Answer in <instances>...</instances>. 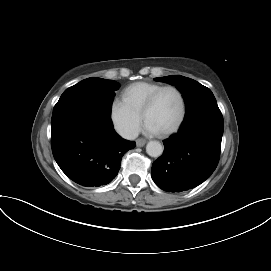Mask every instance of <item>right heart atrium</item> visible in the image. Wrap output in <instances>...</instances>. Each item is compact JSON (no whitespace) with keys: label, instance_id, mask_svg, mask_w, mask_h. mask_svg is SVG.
Instances as JSON below:
<instances>
[{"label":"right heart atrium","instance_id":"obj_1","mask_svg":"<svg viewBox=\"0 0 271 271\" xmlns=\"http://www.w3.org/2000/svg\"><path fill=\"white\" fill-rule=\"evenodd\" d=\"M109 118L115 131L125 139H132L140 129L142 116L123 100L114 99L109 107Z\"/></svg>","mask_w":271,"mask_h":271}]
</instances>
